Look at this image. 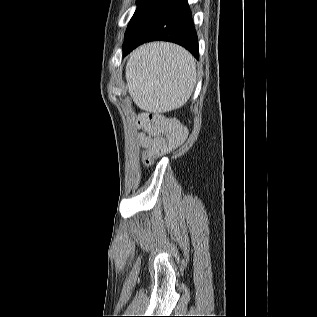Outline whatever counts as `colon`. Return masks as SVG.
<instances>
[{
  "label": "colon",
  "mask_w": 317,
  "mask_h": 317,
  "mask_svg": "<svg viewBox=\"0 0 317 317\" xmlns=\"http://www.w3.org/2000/svg\"><path fill=\"white\" fill-rule=\"evenodd\" d=\"M138 126L154 137L148 152L143 156L146 163L179 147L185 140L186 130L177 119L157 113H143Z\"/></svg>",
  "instance_id": "colon-1"
}]
</instances>
